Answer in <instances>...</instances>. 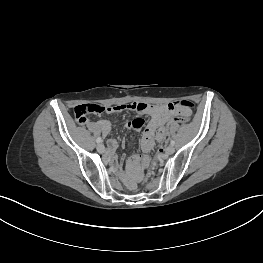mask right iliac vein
<instances>
[{
  "label": "right iliac vein",
  "mask_w": 263,
  "mask_h": 263,
  "mask_svg": "<svg viewBox=\"0 0 263 263\" xmlns=\"http://www.w3.org/2000/svg\"><path fill=\"white\" fill-rule=\"evenodd\" d=\"M97 151H98L99 153H103V152L105 151V147H104V145H103L102 143H99V144L97 145Z\"/></svg>",
  "instance_id": "63e3f726"
}]
</instances>
